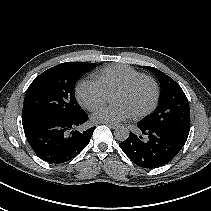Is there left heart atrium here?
Returning <instances> with one entry per match:
<instances>
[{
    "label": "left heart atrium",
    "instance_id": "obj_1",
    "mask_svg": "<svg viewBox=\"0 0 211 211\" xmlns=\"http://www.w3.org/2000/svg\"><path fill=\"white\" fill-rule=\"evenodd\" d=\"M132 114L133 112L126 105L116 103L97 108L92 114V119L96 122L119 123L130 118Z\"/></svg>",
    "mask_w": 211,
    "mask_h": 211
}]
</instances>
